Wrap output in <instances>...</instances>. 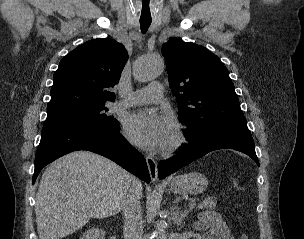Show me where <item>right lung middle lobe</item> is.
Masks as SVG:
<instances>
[{
    "label": "right lung middle lobe",
    "instance_id": "1",
    "mask_svg": "<svg viewBox=\"0 0 304 239\" xmlns=\"http://www.w3.org/2000/svg\"><path fill=\"white\" fill-rule=\"evenodd\" d=\"M105 106L82 109L55 116H48L43 124V130L63 128H91L98 130H114L120 123L105 114Z\"/></svg>",
    "mask_w": 304,
    "mask_h": 239
}]
</instances>
